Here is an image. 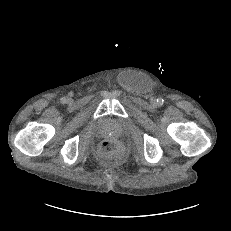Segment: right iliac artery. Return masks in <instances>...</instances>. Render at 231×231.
I'll return each mask as SVG.
<instances>
[{"mask_svg": "<svg viewBox=\"0 0 231 231\" xmlns=\"http://www.w3.org/2000/svg\"><path fill=\"white\" fill-rule=\"evenodd\" d=\"M61 101L64 103L66 101V99L63 97V98H61Z\"/></svg>", "mask_w": 231, "mask_h": 231, "instance_id": "82829eb1", "label": "right iliac artery"}]
</instances>
